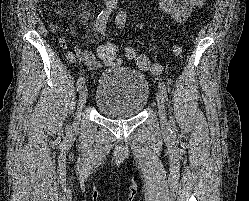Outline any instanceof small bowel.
Returning <instances> with one entry per match:
<instances>
[{
	"label": "small bowel",
	"instance_id": "c3829d8e",
	"mask_svg": "<svg viewBox=\"0 0 249 201\" xmlns=\"http://www.w3.org/2000/svg\"><path fill=\"white\" fill-rule=\"evenodd\" d=\"M205 0H159V8L168 15L174 22L185 21L193 10L199 9L204 5ZM97 30V29H96ZM98 33H101L97 30ZM60 46L66 50V58L69 63H74L77 59L85 62L89 69L97 68L99 62L96 55L75 45L73 50H67V42L64 37L59 40Z\"/></svg>",
	"mask_w": 249,
	"mask_h": 201
}]
</instances>
